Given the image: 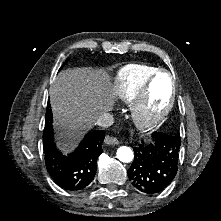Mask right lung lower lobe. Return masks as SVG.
Returning <instances> with one entry per match:
<instances>
[{"label":"right lung lower lobe","instance_id":"98d812e1","mask_svg":"<svg viewBox=\"0 0 221 221\" xmlns=\"http://www.w3.org/2000/svg\"><path fill=\"white\" fill-rule=\"evenodd\" d=\"M50 103L47 106L45 129L43 132V149L47 171L61 188L77 191L87 187L93 180L97 159L103 152L102 142L105 132L102 130L85 135L76 150L63 155L54 142Z\"/></svg>","mask_w":221,"mask_h":221}]
</instances>
